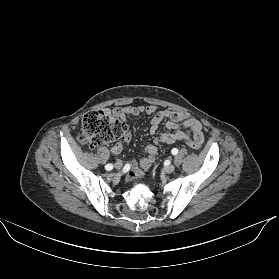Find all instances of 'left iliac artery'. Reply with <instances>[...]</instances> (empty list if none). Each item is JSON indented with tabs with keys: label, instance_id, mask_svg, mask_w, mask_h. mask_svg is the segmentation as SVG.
<instances>
[{
	"label": "left iliac artery",
	"instance_id": "obj_1",
	"mask_svg": "<svg viewBox=\"0 0 279 279\" xmlns=\"http://www.w3.org/2000/svg\"><path fill=\"white\" fill-rule=\"evenodd\" d=\"M171 153H172L173 155H176V154L178 153V149L173 148V149L171 150Z\"/></svg>",
	"mask_w": 279,
	"mask_h": 279
}]
</instances>
